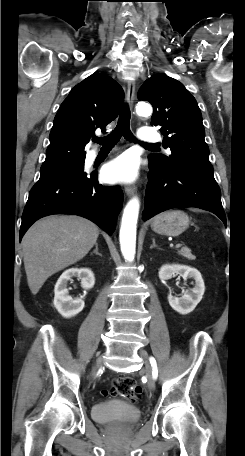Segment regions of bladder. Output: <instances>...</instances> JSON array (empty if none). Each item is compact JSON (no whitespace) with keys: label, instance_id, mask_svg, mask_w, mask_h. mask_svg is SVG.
I'll return each mask as SVG.
<instances>
[{"label":"bladder","instance_id":"bladder-1","mask_svg":"<svg viewBox=\"0 0 245 456\" xmlns=\"http://www.w3.org/2000/svg\"><path fill=\"white\" fill-rule=\"evenodd\" d=\"M141 412L135 405L122 400L102 401L93 405L92 418L99 423H134Z\"/></svg>","mask_w":245,"mask_h":456}]
</instances>
